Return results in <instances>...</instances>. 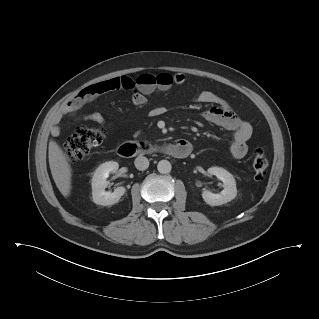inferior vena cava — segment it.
I'll use <instances>...</instances> for the list:
<instances>
[{
  "label": "inferior vena cava",
  "mask_w": 319,
  "mask_h": 319,
  "mask_svg": "<svg viewBox=\"0 0 319 319\" xmlns=\"http://www.w3.org/2000/svg\"><path fill=\"white\" fill-rule=\"evenodd\" d=\"M134 164L138 170H146L149 167V160L144 156H138Z\"/></svg>",
  "instance_id": "inferior-vena-cava-1"
}]
</instances>
